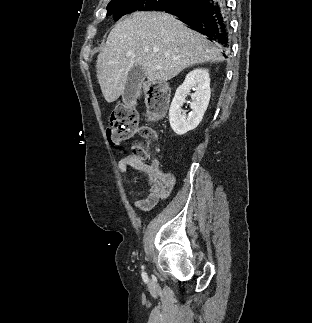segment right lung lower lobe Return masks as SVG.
<instances>
[{
  "instance_id": "1",
  "label": "right lung lower lobe",
  "mask_w": 312,
  "mask_h": 323,
  "mask_svg": "<svg viewBox=\"0 0 312 323\" xmlns=\"http://www.w3.org/2000/svg\"><path fill=\"white\" fill-rule=\"evenodd\" d=\"M226 4L224 0H187L184 4L165 11L177 16L191 29L208 36L210 41L219 44L225 52L230 48Z\"/></svg>"
}]
</instances>
